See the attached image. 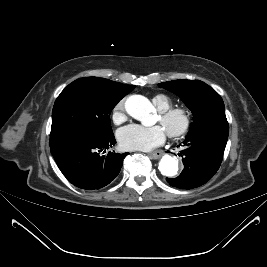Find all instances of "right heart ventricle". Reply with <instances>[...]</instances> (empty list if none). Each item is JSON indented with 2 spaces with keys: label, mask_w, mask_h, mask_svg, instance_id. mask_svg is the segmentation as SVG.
I'll list each match as a JSON object with an SVG mask.
<instances>
[{
  "label": "right heart ventricle",
  "mask_w": 267,
  "mask_h": 267,
  "mask_svg": "<svg viewBox=\"0 0 267 267\" xmlns=\"http://www.w3.org/2000/svg\"><path fill=\"white\" fill-rule=\"evenodd\" d=\"M152 101L160 111H165L169 109L172 105L170 99L162 94L154 96Z\"/></svg>",
  "instance_id": "1"
}]
</instances>
